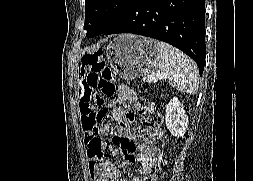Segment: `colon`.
Listing matches in <instances>:
<instances>
[{
    "mask_svg": "<svg viewBox=\"0 0 253 181\" xmlns=\"http://www.w3.org/2000/svg\"><path fill=\"white\" fill-rule=\"evenodd\" d=\"M86 55L82 59V67L86 70L85 83L87 94V114L82 117V124L88 135L85 143L90 147L92 158L98 160L102 153V130H96V125H101L106 115L105 103L117 92V86L109 69L104 67L102 55H107V50L102 47H86ZM141 122L145 127L152 128L156 135L162 122L161 115L155 110L153 103H147L141 110ZM154 174L147 175L145 181H156Z\"/></svg>",
    "mask_w": 253,
    "mask_h": 181,
    "instance_id": "colon-1",
    "label": "colon"
}]
</instances>
